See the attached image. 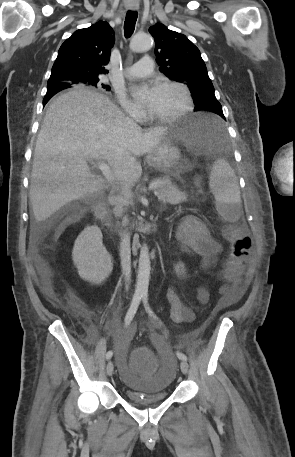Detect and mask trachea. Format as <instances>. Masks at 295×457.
Returning a JSON list of instances; mask_svg holds the SVG:
<instances>
[{
    "label": "trachea",
    "instance_id": "trachea-1",
    "mask_svg": "<svg viewBox=\"0 0 295 457\" xmlns=\"http://www.w3.org/2000/svg\"><path fill=\"white\" fill-rule=\"evenodd\" d=\"M137 21V12L136 11H128L125 22H124V33L125 37L129 38L134 32L135 24Z\"/></svg>",
    "mask_w": 295,
    "mask_h": 457
}]
</instances>
